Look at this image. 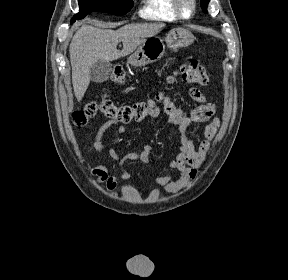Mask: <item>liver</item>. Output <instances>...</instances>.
<instances>
[{
  "instance_id": "6515ba94",
  "label": "liver",
  "mask_w": 288,
  "mask_h": 280,
  "mask_svg": "<svg viewBox=\"0 0 288 280\" xmlns=\"http://www.w3.org/2000/svg\"><path fill=\"white\" fill-rule=\"evenodd\" d=\"M164 27V23L127 24L117 31L90 25L80 27L69 47L72 84L77 100L83 98L90 84V68L94 63L98 60L110 62L131 54ZM120 42L123 43L121 51L117 50Z\"/></svg>"
}]
</instances>
